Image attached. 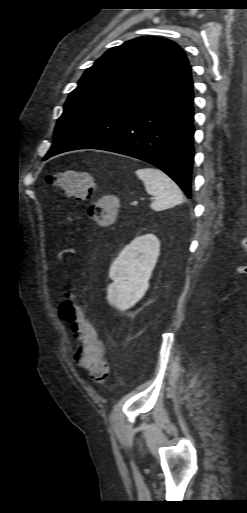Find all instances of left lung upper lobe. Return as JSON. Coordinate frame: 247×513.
Segmentation results:
<instances>
[{
    "label": "left lung upper lobe",
    "instance_id": "obj_1",
    "mask_svg": "<svg viewBox=\"0 0 247 513\" xmlns=\"http://www.w3.org/2000/svg\"><path fill=\"white\" fill-rule=\"evenodd\" d=\"M189 65L184 51L160 37L111 48L83 74L65 103L50 151L95 120L168 81ZM49 151V152H50Z\"/></svg>",
    "mask_w": 247,
    "mask_h": 513
}]
</instances>
